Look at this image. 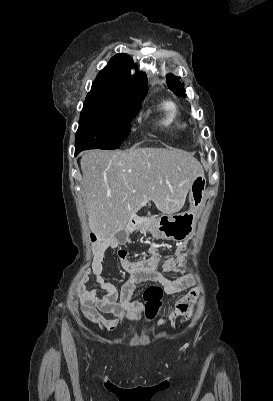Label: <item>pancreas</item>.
<instances>
[{"label": "pancreas", "instance_id": "obj_1", "mask_svg": "<svg viewBox=\"0 0 273 401\" xmlns=\"http://www.w3.org/2000/svg\"><path fill=\"white\" fill-rule=\"evenodd\" d=\"M151 219H153V221H155V217H151ZM150 225H152V223H149V225H145V227H150Z\"/></svg>", "mask_w": 273, "mask_h": 401}]
</instances>
